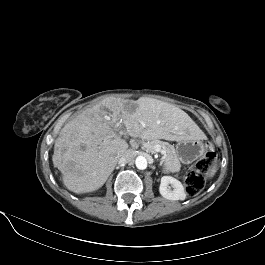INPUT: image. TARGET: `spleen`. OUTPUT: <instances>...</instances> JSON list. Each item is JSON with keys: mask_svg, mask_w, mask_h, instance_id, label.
I'll return each mask as SVG.
<instances>
[{"mask_svg": "<svg viewBox=\"0 0 265 265\" xmlns=\"http://www.w3.org/2000/svg\"><path fill=\"white\" fill-rule=\"evenodd\" d=\"M216 170H217V167H216V165L214 164V165L211 167L210 171H209V176H210V177H213L214 174L216 173Z\"/></svg>", "mask_w": 265, "mask_h": 265, "instance_id": "spleen-1", "label": "spleen"}]
</instances>
